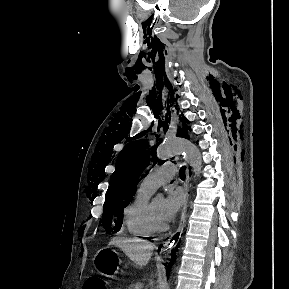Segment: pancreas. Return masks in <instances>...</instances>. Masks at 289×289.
Masks as SVG:
<instances>
[{
  "label": "pancreas",
  "instance_id": "obj_1",
  "mask_svg": "<svg viewBox=\"0 0 289 289\" xmlns=\"http://www.w3.org/2000/svg\"><path fill=\"white\" fill-rule=\"evenodd\" d=\"M141 283L131 284L128 289H142Z\"/></svg>",
  "mask_w": 289,
  "mask_h": 289
}]
</instances>
